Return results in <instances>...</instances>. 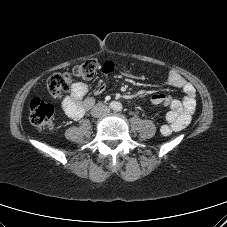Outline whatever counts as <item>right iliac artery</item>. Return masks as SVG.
I'll use <instances>...</instances> for the list:
<instances>
[{"label": "right iliac artery", "mask_w": 227, "mask_h": 227, "mask_svg": "<svg viewBox=\"0 0 227 227\" xmlns=\"http://www.w3.org/2000/svg\"><path fill=\"white\" fill-rule=\"evenodd\" d=\"M109 106H110V108L115 109L116 106H117V103L116 102H111Z\"/></svg>", "instance_id": "right-iliac-artery-1"}]
</instances>
